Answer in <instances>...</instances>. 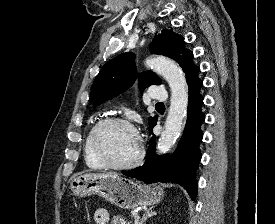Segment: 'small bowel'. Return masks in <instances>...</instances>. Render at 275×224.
I'll use <instances>...</instances> for the list:
<instances>
[{"label":"small bowel","mask_w":275,"mask_h":224,"mask_svg":"<svg viewBox=\"0 0 275 224\" xmlns=\"http://www.w3.org/2000/svg\"><path fill=\"white\" fill-rule=\"evenodd\" d=\"M95 224H108L109 214L104 208L97 209L94 213Z\"/></svg>","instance_id":"small-bowel-1"}]
</instances>
